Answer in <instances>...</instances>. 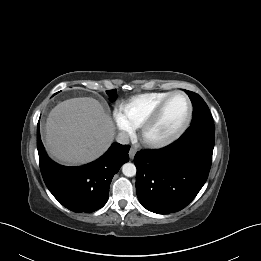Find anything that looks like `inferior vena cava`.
<instances>
[{
	"mask_svg": "<svg viewBox=\"0 0 261 261\" xmlns=\"http://www.w3.org/2000/svg\"><path fill=\"white\" fill-rule=\"evenodd\" d=\"M116 141L120 144H128L129 143V135L125 132H120L116 137Z\"/></svg>",
	"mask_w": 261,
	"mask_h": 261,
	"instance_id": "602c4592",
	"label": "inferior vena cava"
}]
</instances>
